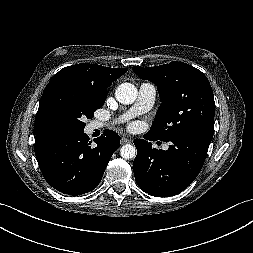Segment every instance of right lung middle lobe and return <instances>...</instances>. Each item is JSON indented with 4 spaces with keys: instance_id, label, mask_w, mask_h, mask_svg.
I'll use <instances>...</instances> for the list:
<instances>
[{
    "instance_id": "obj_1",
    "label": "right lung middle lobe",
    "mask_w": 253,
    "mask_h": 253,
    "mask_svg": "<svg viewBox=\"0 0 253 253\" xmlns=\"http://www.w3.org/2000/svg\"><path fill=\"white\" fill-rule=\"evenodd\" d=\"M106 97L107 93L80 83H48L39 104L34 134L49 131L82 132L85 128L83 120L93 118L94 111L102 107Z\"/></svg>"
}]
</instances>
